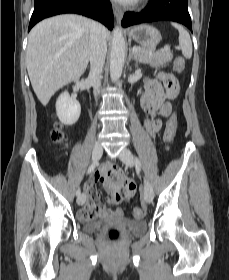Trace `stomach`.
<instances>
[{
    "label": "stomach",
    "instance_id": "0dacf381",
    "mask_svg": "<svg viewBox=\"0 0 229 280\" xmlns=\"http://www.w3.org/2000/svg\"><path fill=\"white\" fill-rule=\"evenodd\" d=\"M131 39L145 49L154 50L161 41V33L153 26L147 24L137 25L128 31Z\"/></svg>",
    "mask_w": 229,
    "mask_h": 280
}]
</instances>
